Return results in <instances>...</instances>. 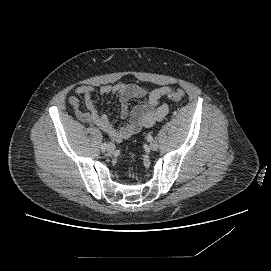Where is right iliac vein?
Here are the masks:
<instances>
[{"label": "right iliac vein", "mask_w": 271, "mask_h": 271, "mask_svg": "<svg viewBox=\"0 0 271 271\" xmlns=\"http://www.w3.org/2000/svg\"><path fill=\"white\" fill-rule=\"evenodd\" d=\"M115 151V145L113 143H109L107 145V152L108 153H113Z\"/></svg>", "instance_id": "1"}]
</instances>
